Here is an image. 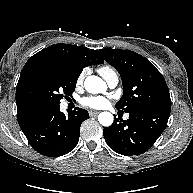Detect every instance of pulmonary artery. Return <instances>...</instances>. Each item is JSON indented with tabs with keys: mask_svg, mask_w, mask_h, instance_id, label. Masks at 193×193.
<instances>
[{
	"mask_svg": "<svg viewBox=\"0 0 193 193\" xmlns=\"http://www.w3.org/2000/svg\"><path fill=\"white\" fill-rule=\"evenodd\" d=\"M104 79L110 88H115L119 83V76L116 72L109 73L104 77ZM125 118L127 119L128 115H125Z\"/></svg>",
	"mask_w": 193,
	"mask_h": 193,
	"instance_id": "pulmonary-artery-1",
	"label": "pulmonary artery"
}]
</instances>
